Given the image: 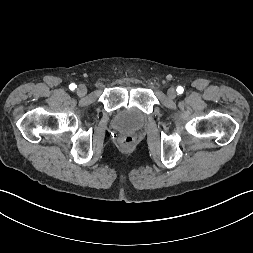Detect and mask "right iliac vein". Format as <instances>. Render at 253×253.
Here are the masks:
<instances>
[{
    "label": "right iliac vein",
    "mask_w": 253,
    "mask_h": 253,
    "mask_svg": "<svg viewBox=\"0 0 253 253\" xmlns=\"http://www.w3.org/2000/svg\"><path fill=\"white\" fill-rule=\"evenodd\" d=\"M87 93V88L85 85L81 84L77 88V94L79 96H84Z\"/></svg>",
    "instance_id": "right-iliac-vein-1"
}]
</instances>
